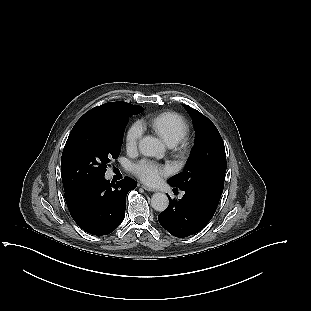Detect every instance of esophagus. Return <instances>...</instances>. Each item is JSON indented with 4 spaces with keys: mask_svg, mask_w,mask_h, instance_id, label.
<instances>
[{
    "mask_svg": "<svg viewBox=\"0 0 311 311\" xmlns=\"http://www.w3.org/2000/svg\"><path fill=\"white\" fill-rule=\"evenodd\" d=\"M142 188H144L145 190H147V191H155V189L154 188H152V187H150V186H147V185H142Z\"/></svg>",
    "mask_w": 311,
    "mask_h": 311,
    "instance_id": "obj_1",
    "label": "esophagus"
}]
</instances>
